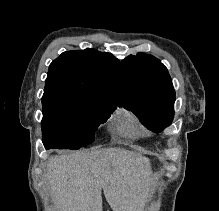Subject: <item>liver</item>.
I'll return each mask as SVG.
<instances>
[{
  "mask_svg": "<svg viewBox=\"0 0 219 211\" xmlns=\"http://www.w3.org/2000/svg\"><path fill=\"white\" fill-rule=\"evenodd\" d=\"M148 157L108 147L50 155L45 187L59 211H103L104 195L113 211H143L148 193Z\"/></svg>",
  "mask_w": 219,
  "mask_h": 211,
  "instance_id": "1",
  "label": "liver"
}]
</instances>
